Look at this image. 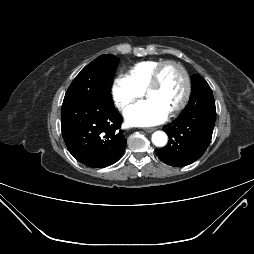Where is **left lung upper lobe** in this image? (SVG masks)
<instances>
[{
    "mask_svg": "<svg viewBox=\"0 0 254 254\" xmlns=\"http://www.w3.org/2000/svg\"><path fill=\"white\" fill-rule=\"evenodd\" d=\"M192 79V91L189 104L215 105L212 90L208 83L199 75H193Z\"/></svg>",
    "mask_w": 254,
    "mask_h": 254,
    "instance_id": "left-lung-upper-lobe-1",
    "label": "left lung upper lobe"
}]
</instances>
